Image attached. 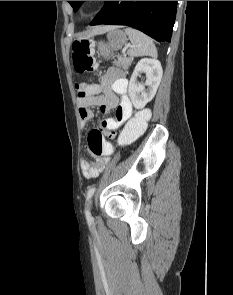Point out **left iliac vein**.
<instances>
[{"label": "left iliac vein", "instance_id": "obj_1", "mask_svg": "<svg viewBox=\"0 0 233 295\" xmlns=\"http://www.w3.org/2000/svg\"><path fill=\"white\" fill-rule=\"evenodd\" d=\"M91 205H92V201L90 200V201H89V207H91Z\"/></svg>", "mask_w": 233, "mask_h": 295}]
</instances>
